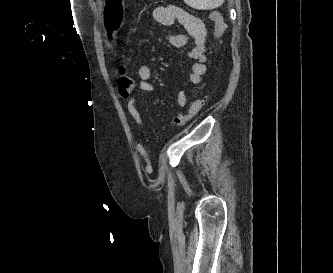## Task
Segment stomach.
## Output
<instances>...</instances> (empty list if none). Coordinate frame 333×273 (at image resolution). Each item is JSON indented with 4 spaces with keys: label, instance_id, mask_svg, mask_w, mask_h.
<instances>
[{
    "label": "stomach",
    "instance_id": "obj_1",
    "mask_svg": "<svg viewBox=\"0 0 333 273\" xmlns=\"http://www.w3.org/2000/svg\"><path fill=\"white\" fill-rule=\"evenodd\" d=\"M122 4H125V0H104L101 22L105 23L106 28H123V23L128 22V17L122 16Z\"/></svg>",
    "mask_w": 333,
    "mask_h": 273
}]
</instances>
